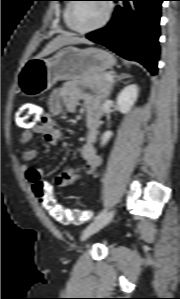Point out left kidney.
<instances>
[{"label":"left kidney","instance_id":"obj_1","mask_svg":"<svg viewBox=\"0 0 180 299\" xmlns=\"http://www.w3.org/2000/svg\"><path fill=\"white\" fill-rule=\"evenodd\" d=\"M139 89L137 85L132 84L126 86L117 97L118 109L121 113L126 114L130 111L137 100ZM112 132L107 131L102 136L101 145H105L111 138Z\"/></svg>","mask_w":180,"mask_h":299}]
</instances>
